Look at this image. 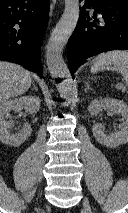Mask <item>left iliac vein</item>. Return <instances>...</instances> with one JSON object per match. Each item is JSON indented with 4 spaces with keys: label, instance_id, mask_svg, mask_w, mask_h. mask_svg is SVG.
I'll list each match as a JSON object with an SVG mask.
<instances>
[{
    "label": "left iliac vein",
    "instance_id": "left-iliac-vein-1",
    "mask_svg": "<svg viewBox=\"0 0 128 213\" xmlns=\"http://www.w3.org/2000/svg\"><path fill=\"white\" fill-rule=\"evenodd\" d=\"M83 207H84V209H85L86 213H92V211H91V208H90V205H89L88 201H86V200H84V201H83Z\"/></svg>",
    "mask_w": 128,
    "mask_h": 213
}]
</instances>
